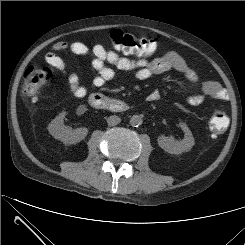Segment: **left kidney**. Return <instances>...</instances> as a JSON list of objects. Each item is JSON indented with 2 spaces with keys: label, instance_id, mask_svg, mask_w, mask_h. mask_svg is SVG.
<instances>
[{
  "label": "left kidney",
  "instance_id": "left-kidney-1",
  "mask_svg": "<svg viewBox=\"0 0 245 245\" xmlns=\"http://www.w3.org/2000/svg\"><path fill=\"white\" fill-rule=\"evenodd\" d=\"M179 126L184 132V139L181 141L175 140L173 137L161 136L158 138L159 146L168 153L181 154L182 152L189 151L195 144L194 137L184 123H180Z\"/></svg>",
  "mask_w": 245,
  "mask_h": 245
}]
</instances>
